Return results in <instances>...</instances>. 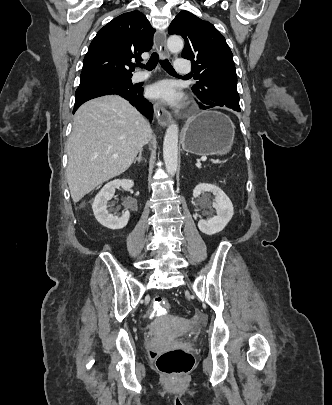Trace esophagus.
Masks as SVG:
<instances>
[{
  "label": "esophagus",
  "instance_id": "1",
  "mask_svg": "<svg viewBox=\"0 0 332 405\" xmlns=\"http://www.w3.org/2000/svg\"><path fill=\"white\" fill-rule=\"evenodd\" d=\"M154 43L160 53V57L168 58L169 52L166 46V33L164 31L156 32L154 36ZM154 109L158 123L161 126L166 127L172 120L171 113L160 103H155Z\"/></svg>",
  "mask_w": 332,
  "mask_h": 405
}]
</instances>
